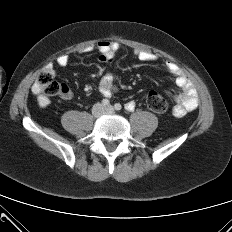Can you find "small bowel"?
<instances>
[{
  "mask_svg": "<svg viewBox=\"0 0 232 232\" xmlns=\"http://www.w3.org/2000/svg\"><path fill=\"white\" fill-rule=\"evenodd\" d=\"M119 48L120 45L117 42L102 40L96 44H90L83 47L80 50V53L86 54L96 50L100 53L101 61L110 62ZM134 56L145 63H155L158 61V58L155 54L142 49H136L134 51ZM69 62L70 58L66 54L60 55L56 60L57 65L60 67L67 66ZM165 67L167 71L173 76L176 86L181 90L180 93L175 95L176 104L174 106L173 113L176 116H184L186 113L197 108L199 103L197 90L192 80L176 63L166 61ZM63 87L65 92L62 94V98L64 100L71 99L73 96L71 89L65 84H63ZM98 88L104 97H110L117 91L114 74L110 68H108L100 76ZM32 92L36 96L37 103L40 107L46 108L49 106V98L39 90L36 83L32 87ZM129 105L135 106V103L133 101H129L126 104V107Z\"/></svg>",
  "mask_w": 232,
  "mask_h": 232,
  "instance_id": "small-bowel-1",
  "label": "small bowel"
}]
</instances>
